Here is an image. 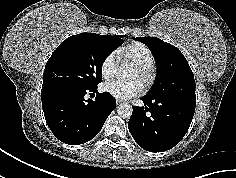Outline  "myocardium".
Returning <instances> with one entry per match:
<instances>
[{
  "instance_id": "obj_1",
  "label": "myocardium",
  "mask_w": 236,
  "mask_h": 178,
  "mask_svg": "<svg viewBox=\"0 0 236 178\" xmlns=\"http://www.w3.org/2000/svg\"><path fill=\"white\" fill-rule=\"evenodd\" d=\"M132 67L143 75L142 86L145 89L150 88L156 79V70L154 66L143 63H133Z\"/></svg>"
}]
</instances>
